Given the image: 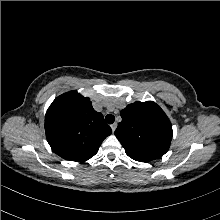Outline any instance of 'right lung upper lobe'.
<instances>
[{
	"mask_svg": "<svg viewBox=\"0 0 220 220\" xmlns=\"http://www.w3.org/2000/svg\"><path fill=\"white\" fill-rule=\"evenodd\" d=\"M45 132L57 155L85 162L98 152L112 130L103 115L93 109L90 99L74 90L52 102L45 116Z\"/></svg>",
	"mask_w": 220,
	"mask_h": 220,
	"instance_id": "right-lung-upper-lobe-1",
	"label": "right lung upper lobe"
}]
</instances>
